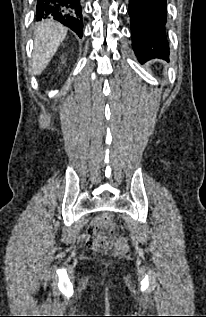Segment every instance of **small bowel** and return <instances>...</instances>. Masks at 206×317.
Here are the masks:
<instances>
[{
  "label": "small bowel",
  "mask_w": 206,
  "mask_h": 317,
  "mask_svg": "<svg viewBox=\"0 0 206 317\" xmlns=\"http://www.w3.org/2000/svg\"><path fill=\"white\" fill-rule=\"evenodd\" d=\"M98 225V220H95L93 221L90 226H89V229H88V235L89 233Z\"/></svg>",
  "instance_id": "1"
}]
</instances>
